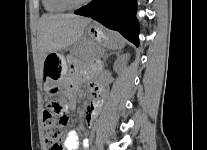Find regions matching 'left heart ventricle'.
I'll return each instance as SVG.
<instances>
[{"mask_svg": "<svg viewBox=\"0 0 207 150\" xmlns=\"http://www.w3.org/2000/svg\"><path fill=\"white\" fill-rule=\"evenodd\" d=\"M73 1H75V2H79V1H82V0H73Z\"/></svg>", "mask_w": 207, "mask_h": 150, "instance_id": "1", "label": "left heart ventricle"}]
</instances>
